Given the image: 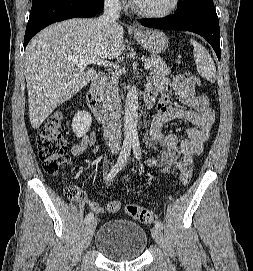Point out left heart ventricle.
Returning <instances> with one entry per match:
<instances>
[{
	"label": "left heart ventricle",
	"instance_id": "left-heart-ventricle-1",
	"mask_svg": "<svg viewBox=\"0 0 253 271\" xmlns=\"http://www.w3.org/2000/svg\"><path fill=\"white\" fill-rule=\"evenodd\" d=\"M138 6L148 11H159L167 8L171 0H137Z\"/></svg>",
	"mask_w": 253,
	"mask_h": 271
}]
</instances>
